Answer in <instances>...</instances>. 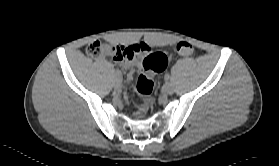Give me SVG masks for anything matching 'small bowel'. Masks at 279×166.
I'll return each instance as SVG.
<instances>
[{
	"label": "small bowel",
	"mask_w": 279,
	"mask_h": 166,
	"mask_svg": "<svg viewBox=\"0 0 279 166\" xmlns=\"http://www.w3.org/2000/svg\"><path fill=\"white\" fill-rule=\"evenodd\" d=\"M132 46H138L139 47L140 50H139V52L137 54H139L141 52H149L151 50L150 46L148 44H146V43L136 44V45H132ZM107 54L111 55L113 60L116 63H118L123 68H125L126 70L129 71L128 79L131 80L132 79V72H133V70L140 66V61H139V59L136 56L137 54H135L131 58H117V57H115L114 55H112L110 53H107ZM162 54L164 55L165 60H166V64H165V68H166L170 57L168 55H166L165 53H162Z\"/></svg>",
	"instance_id": "c3829d8e"
}]
</instances>
